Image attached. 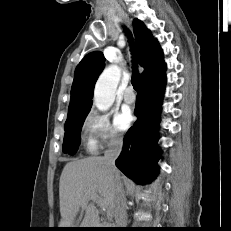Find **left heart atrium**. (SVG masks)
<instances>
[{
  "mask_svg": "<svg viewBox=\"0 0 231 231\" xmlns=\"http://www.w3.org/2000/svg\"><path fill=\"white\" fill-rule=\"evenodd\" d=\"M133 117L129 109H124L116 118L117 126L126 130L132 123Z\"/></svg>",
  "mask_w": 231,
  "mask_h": 231,
  "instance_id": "39dd6f15",
  "label": "left heart atrium"
}]
</instances>
